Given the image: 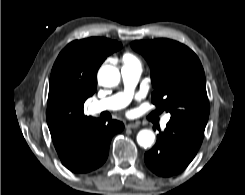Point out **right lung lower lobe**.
<instances>
[{"label":"right lung lower lobe","instance_id":"right-lung-lower-lobe-1","mask_svg":"<svg viewBox=\"0 0 245 195\" xmlns=\"http://www.w3.org/2000/svg\"><path fill=\"white\" fill-rule=\"evenodd\" d=\"M123 128V123L116 120L107 124L96 120L86 128L76 150L69 157L60 158L61 162L74 173H88L99 168L108 157L113 135Z\"/></svg>","mask_w":245,"mask_h":195}]
</instances>
